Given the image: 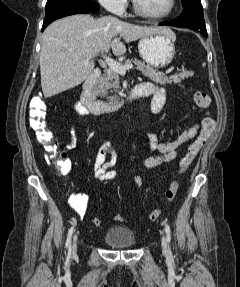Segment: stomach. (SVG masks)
Segmentation results:
<instances>
[{
	"label": "stomach",
	"mask_w": 240,
	"mask_h": 287,
	"mask_svg": "<svg viewBox=\"0 0 240 287\" xmlns=\"http://www.w3.org/2000/svg\"><path fill=\"white\" fill-rule=\"evenodd\" d=\"M175 41L173 32L144 36L138 43L140 57L153 67L168 66L175 56Z\"/></svg>",
	"instance_id": "stomach-1"
}]
</instances>
